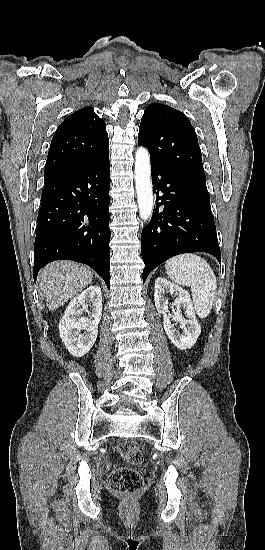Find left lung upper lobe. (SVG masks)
I'll list each match as a JSON object with an SVG mask.
<instances>
[{"instance_id": "1", "label": "left lung upper lobe", "mask_w": 265, "mask_h": 550, "mask_svg": "<svg viewBox=\"0 0 265 550\" xmlns=\"http://www.w3.org/2000/svg\"><path fill=\"white\" fill-rule=\"evenodd\" d=\"M138 145L148 149L151 160L207 190L198 139L182 112L159 103L147 106Z\"/></svg>"}]
</instances>
